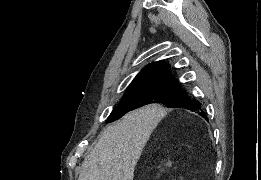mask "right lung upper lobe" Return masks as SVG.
<instances>
[{"label":"right lung upper lobe","instance_id":"obj_1","mask_svg":"<svg viewBox=\"0 0 261 180\" xmlns=\"http://www.w3.org/2000/svg\"><path fill=\"white\" fill-rule=\"evenodd\" d=\"M172 81H176V79L171 77L169 72V65L161 60L148 64L146 67H144L134 78L129 87Z\"/></svg>","mask_w":261,"mask_h":180}]
</instances>
